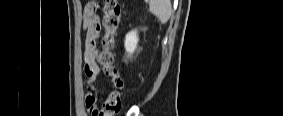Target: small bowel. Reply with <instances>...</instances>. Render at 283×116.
Instances as JSON below:
<instances>
[{
	"label": "small bowel",
	"instance_id": "c3829d8e",
	"mask_svg": "<svg viewBox=\"0 0 283 116\" xmlns=\"http://www.w3.org/2000/svg\"><path fill=\"white\" fill-rule=\"evenodd\" d=\"M95 6L90 4L84 10V27L86 29L84 71L89 82V92L85 97V106L89 112L97 109V93L95 82L99 76L100 67L98 64V40L101 33V26L98 17L94 14ZM94 116H103L102 113Z\"/></svg>",
	"mask_w": 283,
	"mask_h": 116
}]
</instances>
